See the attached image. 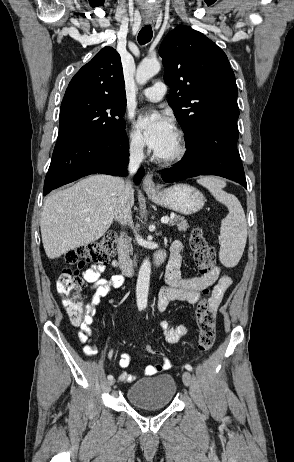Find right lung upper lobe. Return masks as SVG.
Wrapping results in <instances>:
<instances>
[{"mask_svg":"<svg viewBox=\"0 0 294 462\" xmlns=\"http://www.w3.org/2000/svg\"><path fill=\"white\" fill-rule=\"evenodd\" d=\"M75 97L126 99L120 55L104 47L72 78L63 100Z\"/></svg>","mask_w":294,"mask_h":462,"instance_id":"1","label":"right lung upper lobe"}]
</instances>
